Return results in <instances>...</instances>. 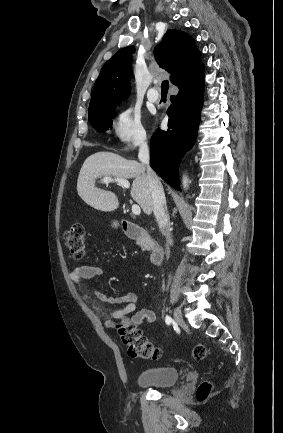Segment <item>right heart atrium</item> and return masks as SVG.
<instances>
[{"instance_id": "right-heart-atrium-1", "label": "right heart atrium", "mask_w": 283, "mask_h": 433, "mask_svg": "<svg viewBox=\"0 0 283 433\" xmlns=\"http://www.w3.org/2000/svg\"><path fill=\"white\" fill-rule=\"evenodd\" d=\"M111 131L121 153L143 148L149 142L142 112L134 105H126L118 111L111 122Z\"/></svg>"}]
</instances>
